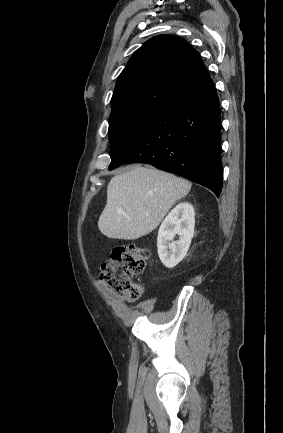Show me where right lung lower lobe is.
Listing matches in <instances>:
<instances>
[{
  "label": "right lung lower lobe",
  "mask_w": 283,
  "mask_h": 433,
  "mask_svg": "<svg viewBox=\"0 0 283 433\" xmlns=\"http://www.w3.org/2000/svg\"><path fill=\"white\" fill-rule=\"evenodd\" d=\"M220 107L214 84L156 115L112 158L109 170L122 164L147 163L222 190Z\"/></svg>",
  "instance_id": "1"
}]
</instances>
